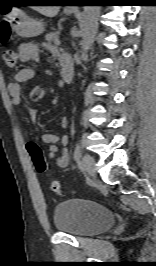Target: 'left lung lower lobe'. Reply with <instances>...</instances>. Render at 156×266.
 <instances>
[{
  "label": "left lung lower lobe",
  "instance_id": "1",
  "mask_svg": "<svg viewBox=\"0 0 156 266\" xmlns=\"http://www.w3.org/2000/svg\"><path fill=\"white\" fill-rule=\"evenodd\" d=\"M91 2H101L100 0H92V1H89V3Z\"/></svg>",
  "mask_w": 156,
  "mask_h": 266
}]
</instances>
